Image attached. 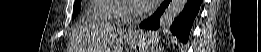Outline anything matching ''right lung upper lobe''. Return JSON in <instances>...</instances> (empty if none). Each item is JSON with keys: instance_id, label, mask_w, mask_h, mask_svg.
Listing matches in <instances>:
<instances>
[{"instance_id": "cb5924a9", "label": "right lung upper lobe", "mask_w": 261, "mask_h": 52, "mask_svg": "<svg viewBox=\"0 0 261 52\" xmlns=\"http://www.w3.org/2000/svg\"><path fill=\"white\" fill-rule=\"evenodd\" d=\"M79 0H75V3L78 2Z\"/></svg>"}]
</instances>
